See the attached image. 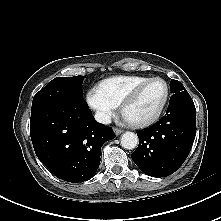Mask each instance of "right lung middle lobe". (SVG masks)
Returning <instances> with one entry per match:
<instances>
[{"instance_id": "1", "label": "right lung middle lobe", "mask_w": 221, "mask_h": 221, "mask_svg": "<svg viewBox=\"0 0 221 221\" xmlns=\"http://www.w3.org/2000/svg\"><path fill=\"white\" fill-rule=\"evenodd\" d=\"M83 79L84 76L53 79L34 96L31 111L54 102L83 99Z\"/></svg>"}]
</instances>
